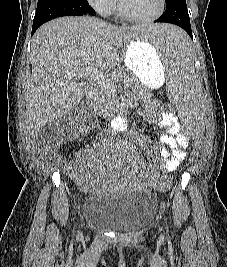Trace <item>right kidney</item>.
Returning <instances> with one entry per match:
<instances>
[{
  "mask_svg": "<svg viewBox=\"0 0 227 267\" xmlns=\"http://www.w3.org/2000/svg\"><path fill=\"white\" fill-rule=\"evenodd\" d=\"M79 132H80L83 136H86V135L88 134L89 130H87V129L81 127V128L79 129Z\"/></svg>",
  "mask_w": 227,
  "mask_h": 267,
  "instance_id": "obj_1",
  "label": "right kidney"
}]
</instances>
